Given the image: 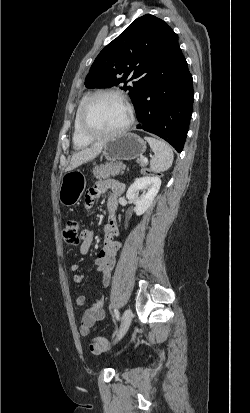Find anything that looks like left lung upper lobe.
<instances>
[{"instance_id":"5c2ea615","label":"left lung upper lobe","mask_w":250,"mask_h":413,"mask_svg":"<svg viewBox=\"0 0 250 413\" xmlns=\"http://www.w3.org/2000/svg\"><path fill=\"white\" fill-rule=\"evenodd\" d=\"M177 34L161 19L146 14L134 20L97 56L85 79L90 88H107L125 83L132 102L142 86L163 68L167 47ZM135 79L127 86V77Z\"/></svg>"}]
</instances>
